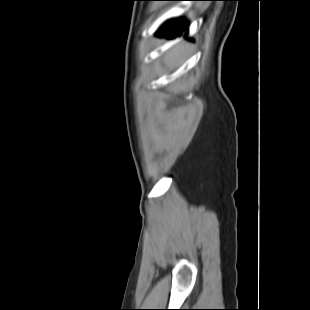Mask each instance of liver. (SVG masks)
Masks as SVG:
<instances>
[{"label": "liver", "instance_id": "1", "mask_svg": "<svg viewBox=\"0 0 310 310\" xmlns=\"http://www.w3.org/2000/svg\"><path fill=\"white\" fill-rule=\"evenodd\" d=\"M180 52H181V47L178 46V47L172 49V51L167 55V57H168L170 60H172V59L178 57L179 54H180Z\"/></svg>", "mask_w": 310, "mask_h": 310}]
</instances>
